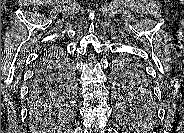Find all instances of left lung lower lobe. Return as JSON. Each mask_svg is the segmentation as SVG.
<instances>
[{
  "label": "left lung lower lobe",
  "instance_id": "1",
  "mask_svg": "<svg viewBox=\"0 0 184 133\" xmlns=\"http://www.w3.org/2000/svg\"><path fill=\"white\" fill-rule=\"evenodd\" d=\"M135 90H136V92H137L139 95H145V94H147L148 92H150V90H146V91H145V89H143V87H141V86H137Z\"/></svg>",
  "mask_w": 184,
  "mask_h": 133
}]
</instances>
